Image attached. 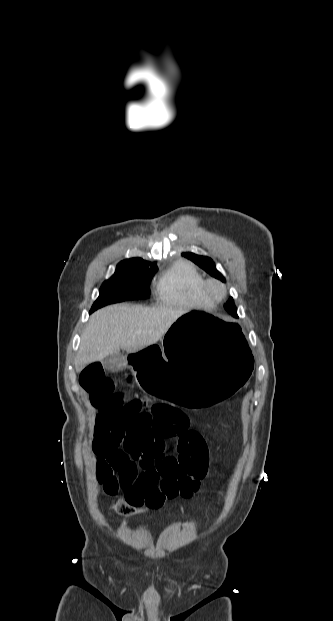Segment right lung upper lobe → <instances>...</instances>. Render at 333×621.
I'll return each instance as SVG.
<instances>
[{"label": "right lung upper lobe", "instance_id": "right-lung-upper-lobe-1", "mask_svg": "<svg viewBox=\"0 0 333 621\" xmlns=\"http://www.w3.org/2000/svg\"><path fill=\"white\" fill-rule=\"evenodd\" d=\"M119 264H135V265L147 266V267H157L153 263L145 261V260H143L141 258H138V257L123 260Z\"/></svg>", "mask_w": 333, "mask_h": 621}]
</instances>
